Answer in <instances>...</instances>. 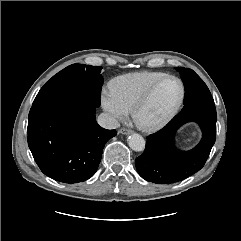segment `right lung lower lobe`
<instances>
[{"label": "right lung lower lobe", "mask_w": 241, "mask_h": 241, "mask_svg": "<svg viewBox=\"0 0 241 241\" xmlns=\"http://www.w3.org/2000/svg\"><path fill=\"white\" fill-rule=\"evenodd\" d=\"M96 107L86 99L31 107L28 145L45 175L72 184L95 174L104 145L117 134L97 124Z\"/></svg>", "instance_id": "obj_1"}]
</instances>
